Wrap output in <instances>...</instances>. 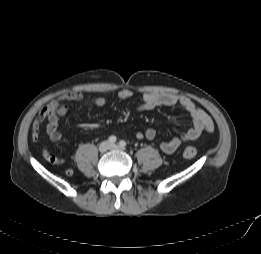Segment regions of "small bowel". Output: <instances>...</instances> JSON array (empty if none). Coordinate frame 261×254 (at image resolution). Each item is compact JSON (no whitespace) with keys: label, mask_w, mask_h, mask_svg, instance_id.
Instances as JSON below:
<instances>
[{"label":"small bowel","mask_w":261,"mask_h":254,"mask_svg":"<svg viewBox=\"0 0 261 254\" xmlns=\"http://www.w3.org/2000/svg\"><path fill=\"white\" fill-rule=\"evenodd\" d=\"M133 96V92L129 89H122L118 92L120 99H129ZM84 94L81 91H68L60 94L49 101L40 111L38 118L32 123V142L36 143L40 137L41 126L44 121H47L46 132L50 140L59 141L62 138V133L59 130V119L68 113L67 102L81 101ZM93 102L97 106H104L106 99L102 95L95 96ZM181 106L188 114L192 121V127L187 131L175 136L169 140L163 141L160 144V149L166 154L174 153L179 146L187 141L198 139L202 132H212L214 124L210 116L202 109L198 108L194 101L190 98L178 95L171 92H145L142 95V101L138 106V111L146 112L158 107L164 106ZM156 137V130L147 128L144 132H137L136 138H146L153 140ZM44 158L52 165H62L65 160L52 155L47 148L43 151Z\"/></svg>","instance_id":"small-bowel-1"}]
</instances>
